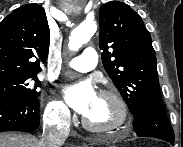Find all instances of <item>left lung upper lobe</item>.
I'll list each match as a JSON object with an SVG mask.
<instances>
[{
	"instance_id": "left-lung-upper-lobe-1",
	"label": "left lung upper lobe",
	"mask_w": 183,
	"mask_h": 147,
	"mask_svg": "<svg viewBox=\"0 0 183 147\" xmlns=\"http://www.w3.org/2000/svg\"><path fill=\"white\" fill-rule=\"evenodd\" d=\"M99 19L103 66L132 115L166 112L156 54L141 17L125 3L112 1L100 8Z\"/></svg>"
}]
</instances>
